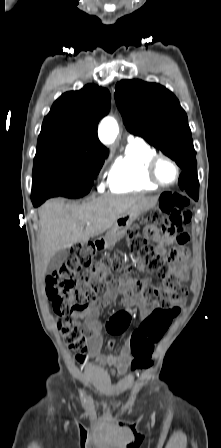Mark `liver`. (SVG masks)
<instances>
[{
  "label": "liver",
  "mask_w": 221,
  "mask_h": 448,
  "mask_svg": "<svg viewBox=\"0 0 221 448\" xmlns=\"http://www.w3.org/2000/svg\"><path fill=\"white\" fill-rule=\"evenodd\" d=\"M151 199L154 198L141 195H104L83 204L47 201L38 211L43 267L46 268L59 250L70 248L76 243L88 242L91 237L103 234L121 215L137 209Z\"/></svg>",
  "instance_id": "obj_1"
}]
</instances>
